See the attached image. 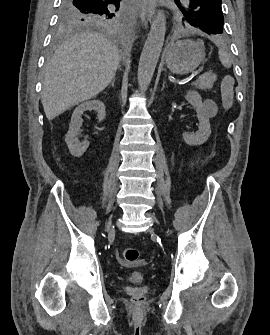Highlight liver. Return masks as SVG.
Returning <instances> with one entry per match:
<instances>
[{"mask_svg":"<svg viewBox=\"0 0 270 335\" xmlns=\"http://www.w3.org/2000/svg\"><path fill=\"white\" fill-rule=\"evenodd\" d=\"M121 56L102 34H74L55 50L45 66L41 102L47 120L98 96L109 86Z\"/></svg>","mask_w":270,"mask_h":335,"instance_id":"1","label":"liver"}]
</instances>
